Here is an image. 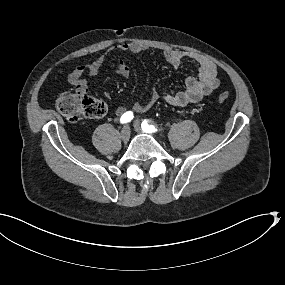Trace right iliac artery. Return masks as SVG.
<instances>
[{
  "label": "right iliac artery",
  "instance_id": "right-iliac-artery-1",
  "mask_svg": "<svg viewBox=\"0 0 285 285\" xmlns=\"http://www.w3.org/2000/svg\"><path fill=\"white\" fill-rule=\"evenodd\" d=\"M133 112L131 111H127L126 113H124L121 118H120V122L121 123H128L133 119Z\"/></svg>",
  "mask_w": 285,
  "mask_h": 285
}]
</instances>
